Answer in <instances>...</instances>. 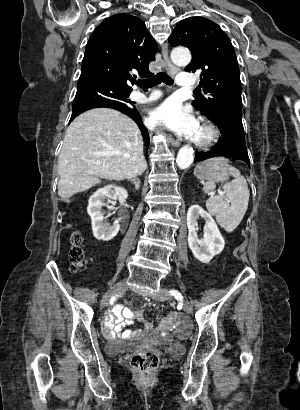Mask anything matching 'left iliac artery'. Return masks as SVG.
Listing matches in <instances>:
<instances>
[{
	"label": "left iliac artery",
	"instance_id": "left-iliac-artery-1",
	"mask_svg": "<svg viewBox=\"0 0 300 410\" xmlns=\"http://www.w3.org/2000/svg\"><path fill=\"white\" fill-rule=\"evenodd\" d=\"M169 292H170V294L173 295L176 299H179V300L183 299V297H182V295H181V293H180L179 291L173 289V290H170Z\"/></svg>",
	"mask_w": 300,
	"mask_h": 410
}]
</instances>
